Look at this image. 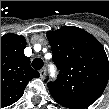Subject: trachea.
<instances>
[{
  "instance_id": "3493384b",
  "label": "trachea",
  "mask_w": 109,
  "mask_h": 109,
  "mask_svg": "<svg viewBox=\"0 0 109 109\" xmlns=\"http://www.w3.org/2000/svg\"><path fill=\"white\" fill-rule=\"evenodd\" d=\"M32 67L35 69V70H39L43 67V60L40 59V58H35L33 61H32Z\"/></svg>"
}]
</instances>
